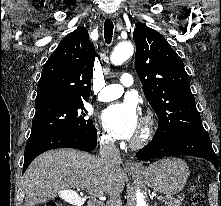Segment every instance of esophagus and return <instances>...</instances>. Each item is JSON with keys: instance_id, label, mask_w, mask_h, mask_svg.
<instances>
[{"instance_id": "obj_1", "label": "esophagus", "mask_w": 221, "mask_h": 206, "mask_svg": "<svg viewBox=\"0 0 221 206\" xmlns=\"http://www.w3.org/2000/svg\"><path fill=\"white\" fill-rule=\"evenodd\" d=\"M105 17L107 19H113L114 18V16L110 15V14L106 15ZM125 167H126L127 170H140V169H142V166H141L140 163L134 162L132 160H126Z\"/></svg>"}]
</instances>
